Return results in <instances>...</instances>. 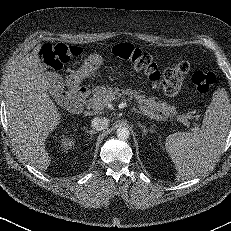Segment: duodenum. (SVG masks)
<instances>
[{
  "instance_id": "410a0bca",
  "label": "duodenum",
  "mask_w": 231,
  "mask_h": 231,
  "mask_svg": "<svg viewBox=\"0 0 231 231\" xmlns=\"http://www.w3.org/2000/svg\"><path fill=\"white\" fill-rule=\"evenodd\" d=\"M91 89L87 85H77L69 88L61 99V103L75 111H80L90 96Z\"/></svg>"
}]
</instances>
